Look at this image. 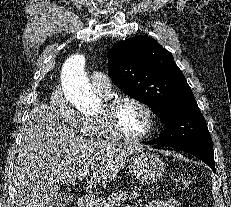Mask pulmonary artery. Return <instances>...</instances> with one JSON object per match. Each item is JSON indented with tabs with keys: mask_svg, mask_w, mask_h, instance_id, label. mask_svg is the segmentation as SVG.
I'll return each mask as SVG.
<instances>
[{
	"mask_svg": "<svg viewBox=\"0 0 231 207\" xmlns=\"http://www.w3.org/2000/svg\"><path fill=\"white\" fill-rule=\"evenodd\" d=\"M90 81L95 91L109 93L111 90L110 78L104 72H94L90 76Z\"/></svg>",
	"mask_w": 231,
	"mask_h": 207,
	"instance_id": "pulmonary-artery-1",
	"label": "pulmonary artery"
}]
</instances>
